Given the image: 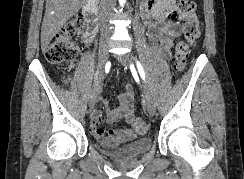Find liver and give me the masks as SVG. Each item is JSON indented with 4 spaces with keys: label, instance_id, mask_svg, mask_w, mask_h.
<instances>
[{
    "label": "liver",
    "instance_id": "6515ba94",
    "mask_svg": "<svg viewBox=\"0 0 244 179\" xmlns=\"http://www.w3.org/2000/svg\"><path fill=\"white\" fill-rule=\"evenodd\" d=\"M87 0H46L45 16L41 30V50L45 54L52 38L75 16Z\"/></svg>",
    "mask_w": 244,
    "mask_h": 179
}]
</instances>
